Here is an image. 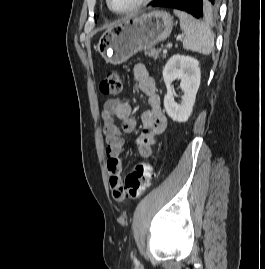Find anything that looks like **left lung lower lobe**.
Segmentation results:
<instances>
[{
  "label": "left lung lower lobe",
  "instance_id": "left-lung-lower-lobe-1",
  "mask_svg": "<svg viewBox=\"0 0 265 269\" xmlns=\"http://www.w3.org/2000/svg\"><path fill=\"white\" fill-rule=\"evenodd\" d=\"M152 6L179 9L199 19H214L218 14L219 0H157Z\"/></svg>",
  "mask_w": 265,
  "mask_h": 269
}]
</instances>
